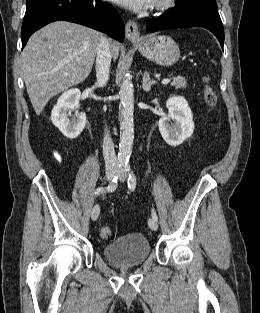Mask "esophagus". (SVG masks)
Instances as JSON below:
<instances>
[{
  "label": "esophagus",
  "mask_w": 260,
  "mask_h": 313,
  "mask_svg": "<svg viewBox=\"0 0 260 313\" xmlns=\"http://www.w3.org/2000/svg\"><path fill=\"white\" fill-rule=\"evenodd\" d=\"M126 37L131 42H137L140 40V30L137 24L129 20L125 26Z\"/></svg>",
  "instance_id": "34e87169"
}]
</instances>
